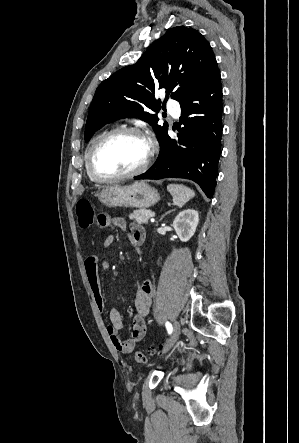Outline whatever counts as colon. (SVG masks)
I'll list each match as a JSON object with an SVG mask.
<instances>
[{
    "label": "colon",
    "instance_id": "colon-1",
    "mask_svg": "<svg viewBox=\"0 0 299 443\" xmlns=\"http://www.w3.org/2000/svg\"><path fill=\"white\" fill-rule=\"evenodd\" d=\"M76 212L79 220V225L82 229H89L93 225L97 224V218L92 204L85 199L78 201L76 206ZM150 354H154L156 351L150 349ZM134 360L138 363H144L147 360L146 353L143 351H136L133 355Z\"/></svg>",
    "mask_w": 299,
    "mask_h": 443
}]
</instances>
